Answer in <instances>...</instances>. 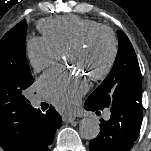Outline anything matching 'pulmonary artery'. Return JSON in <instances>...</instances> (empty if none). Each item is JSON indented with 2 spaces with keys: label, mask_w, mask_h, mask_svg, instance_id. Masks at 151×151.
Masks as SVG:
<instances>
[{
  "label": "pulmonary artery",
  "mask_w": 151,
  "mask_h": 151,
  "mask_svg": "<svg viewBox=\"0 0 151 151\" xmlns=\"http://www.w3.org/2000/svg\"><path fill=\"white\" fill-rule=\"evenodd\" d=\"M104 117H105V119H109L110 118V111H106Z\"/></svg>",
  "instance_id": "e3ab8cb5"
}]
</instances>
